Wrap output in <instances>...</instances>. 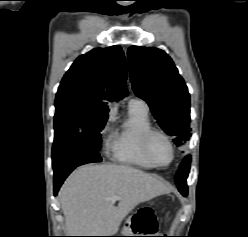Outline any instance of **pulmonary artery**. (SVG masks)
Returning <instances> with one entry per match:
<instances>
[{
    "mask_svg": "<svg viewBox=\"0 0 248 237\" xmlns=\"http://www.w3.org/2000/svg\"><path fill=\"white\" fill-rule=\"evenodd\" d=\"M129 106H140V107H142L144 109H148L147 103L144 100L139 99V98L131 99L129 101Z\"/></svg>",
    "mask_w": 248,
    "mask_h": 237,
    "instance_id": "e3ab8cb5",
    "label": "pulmonary artery"
}]
</instances>
